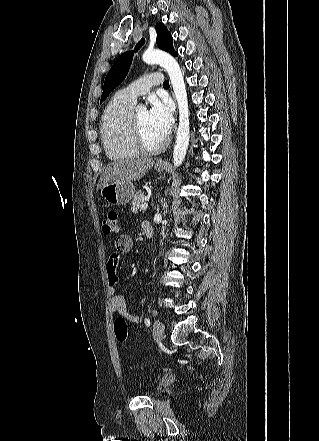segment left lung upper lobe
I'll return each mask as SVG.
<instances>
[{
    "mask_svg": "<svg viewBox=\"0 0 319 441\" xmlns=\"http://www.w3.org/2000/svg\"><path fill=\"white\" fill-rule=\"evenodd\" d=\"M155 28L157 30L156 43L158 48L172 54L173 56H178V53L174 51L172 42L173 39L170 32L167 31L166 26L162 23H157ZM144 42L145 40L141 39L137 44L135 51H137L144 44ZM132 57L133 52L128 51L123 53L115 61L105 78L100 103H102L107 98L109 93L113 91L125 79L132 62Z\"/></svg>",
    "mask_w": 319,
    "mask_h": 441,
    "instance_id": "obj_1",
    "label": "left lung upper lobe"
}]
</instances>
